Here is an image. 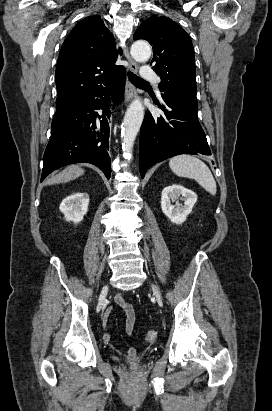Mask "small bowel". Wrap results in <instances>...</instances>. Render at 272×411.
Here are the masks:
<instances>
[{"instance_id":"small-bowel-1","label":"small bowel","mask_w":272,"mask_h":411,"mask_svg":"<svg viewBox=\"0 0 272 411\" xmlns=\"http://www.w3.org/2000/svg\"><path fill=\"white\" fill-rule=\"evenodd\" d=\"M115 303L119 305L125 312V315H126L125 330L128 335H132L134 332V324H135V312L133 310V307L125 300L122 294L116 295ZM104 327H105V323H104ZM103 339L105 342H109L110 341L109 333L104 332ZM126 353L128 355H133L135 353V350L134 348L130 347L126 350Z\"/></svg>"}]
</instances>
